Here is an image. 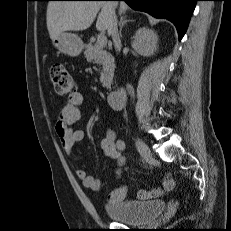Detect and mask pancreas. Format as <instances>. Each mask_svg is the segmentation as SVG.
Wrapping results in <instances>:
<instances>
[{"mask_svg": "<svg viewBox=\"0 0 231 231\" xmlns=\"http://www.w3.org/2000/svg\"><path fill=\"white\" fill-rule=\"evenodd\" d=\"M84 55L88 62L102 66L100 82L103 87L110 89L115 69L113 57L103 47L92 43L85 45Z\"/></svg>", "mask_w": 231, "mask_h": 231, "instance_id": "1", "label": "pancreas"}]
</instances>
